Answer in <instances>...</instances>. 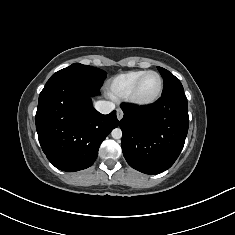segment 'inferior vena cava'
I'll return each mask as SVG.
<instances>
[{"instance_id":"1","label":"inferior vena cava","mask_w":235,"mask_h":235,"mask_svg":"<svg viewBox=\"0 0 235 235\" xmlns=\"http://www.w3.org/2000/svg\"><path fill=\"white\" fill-rule=\"evenodd\" d=\"M95 109L102 114H109L114 110L115 104L109 101H97L94 104Z\"/></svg>"}]
</instances>
